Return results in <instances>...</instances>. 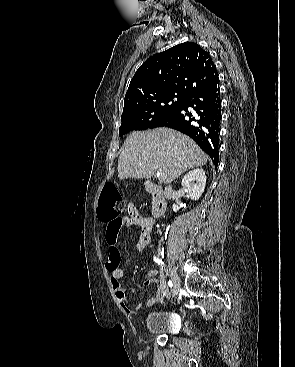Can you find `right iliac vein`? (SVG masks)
Here are the masks:
<instances>
[{
	"mask_svg": "<svg viewBox=\"0 0 295 367\" xmlns=\"http://www.w3.org/2000/svg\"><path fill=\"white\" fill-rule=\"evenodd\" d=\"M171 277H172V281L174 285V292H175V295H177L179 288H180V278L175 270H172Z\"/></svg>",
	"mask_w": 295,
	"mask_h": 367,
	"instance_id": "1",
	"label": "right iliac vein"
}]
</instances>
